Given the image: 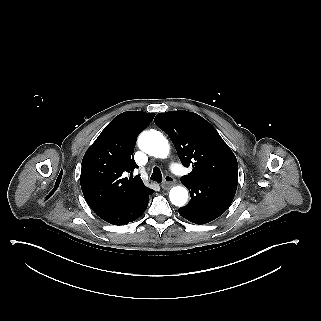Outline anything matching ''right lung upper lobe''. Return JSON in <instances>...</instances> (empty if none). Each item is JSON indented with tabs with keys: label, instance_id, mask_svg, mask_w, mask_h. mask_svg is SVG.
I'll list each match as a JSON object with an SVG mask.
<instances>
[{
	"label": "right lung upper lobe",
	"instance_id": "right-lung-upper-lobe-1",
	"mask_svg": "<svg viewBox=\"0 0 321 321\" xmlns=\"http://www.w3.org/2000/svg\"><path fill=\"white\" fill-rule=\"evenodd\" d=\"M154 116L139 111L119 114L86 151L80 183L95 213L120 205L147 189L139 175L126 176L133 175L138 167L132 157L136 139Z\"/></svg>",
	"mask_w": 321,
	"mask_h": 321
}]
</instances>
